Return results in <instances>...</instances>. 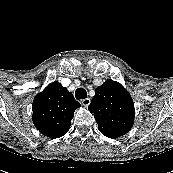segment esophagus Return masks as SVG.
Wrapping results in <instances>:
<instances>
[{"label":"esophagus","instance_id":"esophagus-1","mask_svg":"<svg viewBox=\"0 0 173 173\" xmlns=\"http://www.w3.org/2000/svg\"><path fill=\"white\" fill-rule=\"evenodd\" d=\"M90 102H91L90 98H85V99L81 100V104L85 107L88 106L90 104Z\"/></svg>","mask_w":173,"mask_h":173}]
</instances>
